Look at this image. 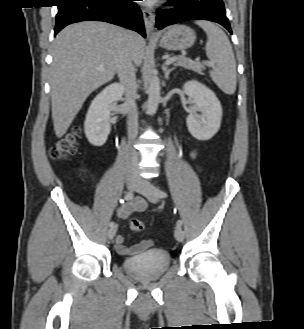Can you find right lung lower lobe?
I'll return each instance as SVG.
<instances>
[{
	"instance_id": "98d812e1",
	"label": "right lung lower lobe",
	"mask_w": 304,
	"mask_h": 329,
	"mask_svg": "<svg viewBox=\"0 0 304 329\" xmlns=\"http://www.w3.org/2000/svg\"><path fill=\"white\" fill-rule=\"evenodd\" d=\"M132 1L134 0H61L54 35L71 23L97 20L137 31L145 37L142 13Z\"/></svg>"
}]
</instances>
